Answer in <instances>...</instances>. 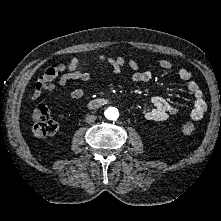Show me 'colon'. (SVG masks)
<instances>
[{"label": "colon", "instance_id": "5ec220e1", "mask_svg": "<svg viewBox=\"0 0 221 221\" xmlns=\"http://www.w3.org/2000/svg\"><path fill=\"white\" fill-rule=\"evenodd\" d=\"M100 60L103 61V59ZM124 64L125 60L121 57L111 61V65L113 67L120 68ZM79 65V60L74 58L68 63L67 68L71 71H74L79 68ZM60 71L61 66L58 64H54L46 69L39 78L37 88L42 91H51L53 89L52 82L58 76ZM31 119L33 134L38 138L51 136L57 131L58 125L56 121L51 117L47 108L43 105H40L33 110L31 114ZM177 130L182 135L190 136L194 133L195 125L191 120L185 119L177 124Z\"/></svg>", "mask_w": 221, "mask_h": 221}]
</instances>
